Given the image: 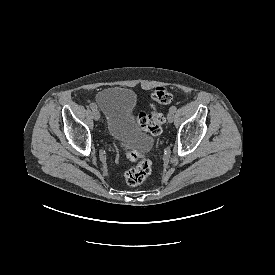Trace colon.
Returning a JSON list of instances; mask_svg holds the SVG:
<instances>
[{
	"label": "colon",
	"instance_id": "1",
	"mask_svg": "<svg viewBox=\"0 0 275 275\" xmlns=\"http://www.w3.org/2000/svg\"><path fill=\"white\" fill-rule=\"evenodd\" d=\"M172 93L164 88L158 87L152 93V102L150 103V113L139 111L136 115L139 126L151 135L157 136L162 132V126L165 117L160 111V106L170 103ZM118 152H124L129 161H137L136 166L125 172V182L130 186H136L142 183L152 171L151 161L141 153L127 150L123 144L116 147Z\"/></svg>",
	"mask_w": 275,
	"mask_h": 275
}]
</instances>
